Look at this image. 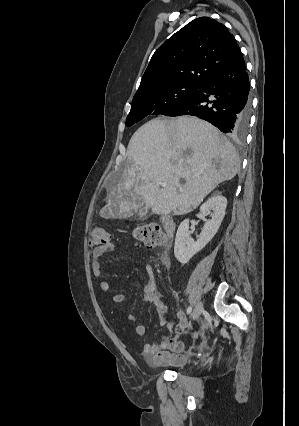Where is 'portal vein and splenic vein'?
I'll use <instances>...</instances> for the list:
<instances>
[{
  "mask_svg": "<svg viewBox=\"0 0 299 426\" xmlns=\"http://www.w3.org/2000/svg\"><path fill=\"white\" fill-rule=\"evenodd\" d=\"M160 185L162 186V187H166L167 186V183L166 182H161L160 183ZM177 187L179 188V189H181V185H177Z\"/></svg>",
  "mask_w": 299,
  "mask_h": 426,
  "instance_id": "obj_1",
  "label": "portal vein and splenic vein"
}]
</instances>
